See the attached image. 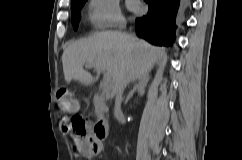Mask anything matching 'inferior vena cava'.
Returning <instances> with one entry per match:
<instances>
[{
  "label": "inferior vena cava",
  "instance_id": "1",
  "mask_svg": "<svg viewBox=\"0 0 242 160\" xmlns=\"http://www.w3.org/2000/svg\"><path fill=\"white\" fill-rule=\"evenodd\" d=\"M120 28H125L124 25H120ZM138 68H128L127 72L128 73H138ZM129 82V77L128 76H124L120 79L119 83L116 86L115 89V108H114V116L116 117V119L120 120L123 117V113L121 110V103H122V99H123V92L125 87L127 86V83Z\"/></svg>",
  "mask_w": 242,
  "mask_h": 160
}]
</instances>
